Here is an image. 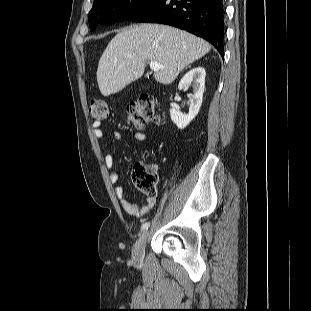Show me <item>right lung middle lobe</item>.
Segmentation results:
<instances>
[{
	"instance_id": "dd1d6c3e",
	"label": "right lung middle lobe",
	"mask_w": 311,
	"mask_h": 311,
	"mask_svg": "<svg viewBox=\"0 0 311 311\" xmlns=\"http://www.w3.org/2000/svg\"><path fill=\"white\" fill-rule=\"evenodd\" d=\"M157 0H97L89 12L90 30L98 23L110 24L127 20Z\"/></svg>"
}]
</instances>
